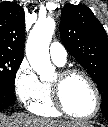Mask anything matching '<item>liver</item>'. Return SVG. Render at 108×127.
Segmentation results:
<instances>
[{
    "label": "liver",
    "instance_id": "liver-1",
    "mask_svg": "<svg viewBox=\"0 0 108 127\" xmlns=\"http://www.w3.org/2000/svg\"><path fill=\"white\" fill-rule=\"evenodd\" d=\"M86 122H66L44 119L25 113H14L11 116L0 114V127H89Z\"/></svg>",
    "mask_w": 108,
    "mask_h": 127
}]
</instances>
